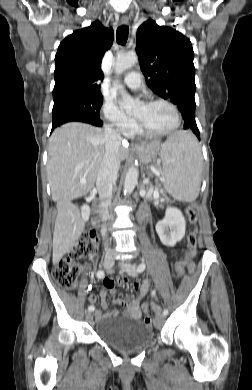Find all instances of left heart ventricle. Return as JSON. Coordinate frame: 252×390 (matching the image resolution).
<instances>
[{"label":"left heart ventricle","mask_w":252,"mask_h":390,"mask_svg":"<svg viewBox=\"0 0 252 390\" xmlns=\"http://www.w3.org/2000/svg\"><path fill=\"white\" fill-rule=\"evenodd\" d=\"M134 117L146 127L156 131L167 130L175 122L173 110L164 103H156L151 106L141 104Z\"/></svg>","instance_id":"b2bd125f"}]
</instances>
